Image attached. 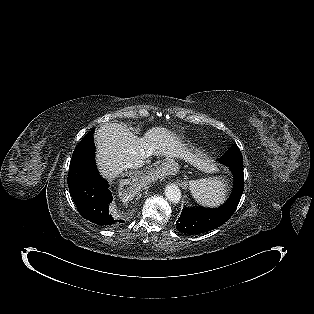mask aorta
Here are the masks:
<instances>
[{
  "label": "aorta",
  "instance_id": "obj_1",
  "mask_svg": "<svg viewBox=\"0 0 314 314\" xmlns=\"http://www.w3.org/2000/svg\"><path fill=\"white\" fill-rule=\"evenodd\" d=\"M165 196L172 203H179L181 199V190L173 183L166 185Z\"/></svg>",
  "mask_w": 314,
  "mask_h": 314
}]
</instances>
